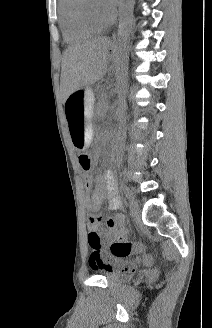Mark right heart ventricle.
<instances>
[{"mask_svg": "<svg viewBox=\"0 0 212 328\" xmlns=\"http://www.w3.org/2000/svg\"><path fill=\"white\" fill-rule=\"evenodd\" d=\"M82 0H59V18L64 39L68 43L84 41L101 29L88 25L81 17Z\"/></svg>", "mask_w": 212, "mask_h": 328, "instance_id": "right-heart-ventricle-1", "label": "right heart ventricle"}]
</instances>
